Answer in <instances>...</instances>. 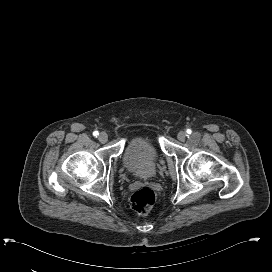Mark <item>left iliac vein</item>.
<instances>
[{
	"mask_svg": "<svg viewBox=\"0 0 272 272\" xmlns=\"http://www.w3.org/2000/svg\"><path fill=\"white\" fill-rule=\"evenodd\" d=\"M187 134L184 131H180L177 135L179 141L184 142L186 140Z\"/></svg>",
	"mask_w": 272,
	"mask_h": 272,
	"instance_id": "1",
	"label": "left iliac vein"
}]
</instances>
